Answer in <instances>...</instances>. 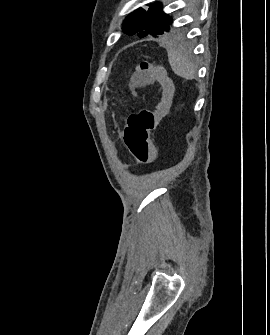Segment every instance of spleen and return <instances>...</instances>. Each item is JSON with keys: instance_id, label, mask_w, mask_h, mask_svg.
Instances as JSON below:
<instances>
[{"instance_id": "spleen-1", "label": "spleen", "mask_w": 270, "mask_h": 335, "mask_svg": "<svg viewBox=\"0 0 270 335\" xmlns=\"http://www.w3.org/2000/svg\"><path fill=\"white\" fill-rule=\"evenodd\" d=\"M168 62L177 76L185 80H194L196 68L190 62L187 54L183 52L181 44H173L168 52Z\"/></svg>"}]
</instances>
